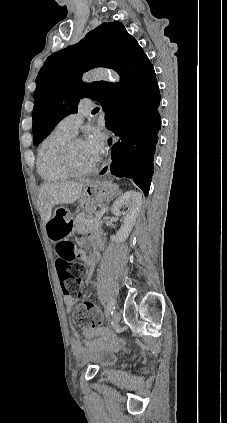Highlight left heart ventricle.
I'll return each instance as SVG.
<instances>
[{
  "label": "left heart ventricle",
  "instance_id": "obj_1",
  "mask_svg": "<svg viewBox=\"0 0 227 423\" xmlns=\"http://www.w3.org/2000/svg\"><path fill=\"white\" fill-rule=\"evenodd\" d=\"M71 160L73 167L78 171L85 170L93 165L85 149L84 142H77L73 146Z\"/></svg>",
  "mask_w": 227,
  "mask_h": 423
}]
</instances>
